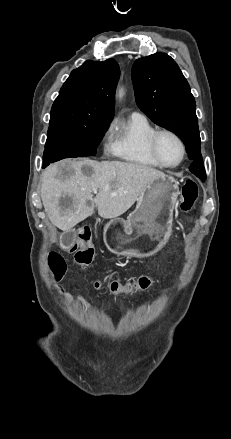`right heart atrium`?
<instances>
[{
	"mask_svg": "<svg viewBox=\"0 0 231 439\" xmlns=\"http://www.w3.org/2000/svg\"><path fill=\"white\" fill-rule=\"evenodd\" d=\"M112 132H113V123H109L102 135V142L105 152L112 151V147H113Z\"/></svg>",
	"mask_w": 231,
	"mask_h": 439,
	"instance_id": "right-heart-atrium-1",
	"label": "right heart atrium"
}]
</instances>
